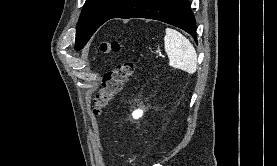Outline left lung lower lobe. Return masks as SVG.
<instances>
[{
    "instance_id": "obj_1",
    "label": "left lung lower lobe",
    "mask_w": 277,
    "mask_h": 166,
    "mask_svg": "<svg viewBox=\"0 0 277 166\" xmlns=\"http://www.w3.org/2000/svg\"><path fill=\"white\" fill-rule=\"evenodd\" d=\"M135 17L159 20L177 26L197 41L195 18L188 0H133L111 18Z\"/></svg>"
}]
</instances>
